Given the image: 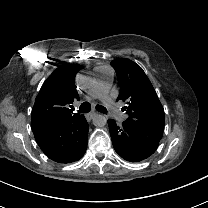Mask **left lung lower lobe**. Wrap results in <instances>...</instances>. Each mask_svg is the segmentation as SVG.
<instances>
[{
	"mask_svg": "<svg viewBox=\"0 0 208 208\" xmlns=\"http://www.w3.org/2000/svg\"><path fill=\"white\" fill-rule=\"evenodd\" d=\"M107 122L113 147L124 160L140 162L157 150L159 142L138 133L127 121L122 126H118L113 119Z\"/></svg>",
	"mask_w": 208,
	"mask_h": 208,
	"instance_id": "0a47b994",
	"label": "left lung lower lobe"
}]
</instances>
